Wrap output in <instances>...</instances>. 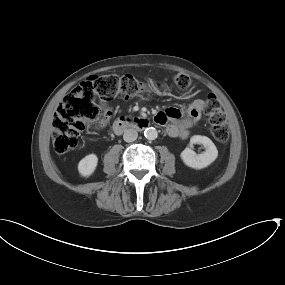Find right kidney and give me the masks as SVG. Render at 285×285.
Segmentation results:
<instances>
[{
	"instance_id": "ca27d5eb",
	"label": "right kidney",
	"mask_w": 285,
	"mask_h": 285,
	"mask_svg": "<svg viewBox=\"0 0 285 285\" xmlns=\"http://www.w3.org/2000/svg\"><path fill=\"white\" fill-rule=\"evenodd\" d=\"M98 157L95 154L85 156L78 163V171L81 176L88 177L93 174L97 167Z\"/></svg>"
}]
</instances>
